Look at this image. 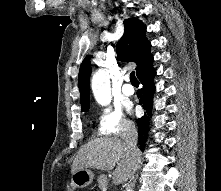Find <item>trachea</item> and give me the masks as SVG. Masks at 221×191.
Returning a JSON list of instances; mask_svg holds the SVG:
<instances>
[{"mask_svg": "<svg viewBox=\"0 0 221 191\" xmlns=\"http://www.w3.org/2000/svg\"><path fill=\"white\" fill-rule=\"evenodd\" d=\"M130 81H131L132 84H138L139 83V81L137 80L134 72H131V74H130Z\"/></svg>", "mask_w": 221, "mask_h": 191, "instance_id": "3493384b", "label": "trachea"}]
</instances>
